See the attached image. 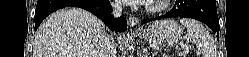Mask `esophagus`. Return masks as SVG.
Listing matches in <instances>:
<instances>
[{
	"instance_id": "esophagus-1",
	"label": "esophagus",
	"mask_w": 249,
	"mask_h": 57,
	"mask_svg": "<svg viewBox=\"0 0 249 57\" xmlns=\"http://www.w3.org/2000/svg\"><path fill=\"white\" fill-rule=\"evenodd\" d=\"M138 24H139V19L137 17L135 16L129 17L128 25L131 31L136 29Z\"/></svg>"
}]
</instances>
